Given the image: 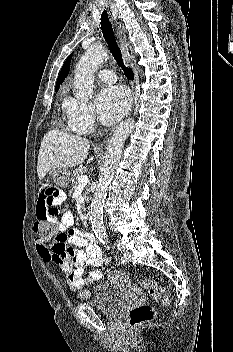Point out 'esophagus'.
Returning a JSON list of instances; mask_svg holds the SVG:
<instances>
[{
    "label": "esophagus",
    "mask_w": 233,
    "mask_h": 352,
    "mask_svg": "<svg viewBox=\"0 0 233 352\" xmlns=\"http://www.w3.org/2000/svg\"><path fill=\"white\" fill-rule=\"evenodd\" d=\"M123 32H124V25L120 21L116 20V40H117V43L122 51L123 58H124V61L126 62V64L129 67L134 68V62L129 56L128 48H127V45L124 41ZM111 134L112 133H109V135L99 144L100 147H105L108 144Z\"/></svg>",
    "instance_id": "esophagus-1"
}]
</instances>
